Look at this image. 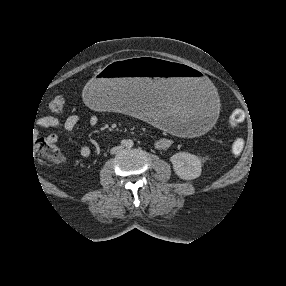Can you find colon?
<instances>
[{
  "label": "colon",
  "instance_id": "5ec220e1",
  "mask_svg": "<svg viewBox=\"0 0 286 286\" xmlns=\"http://www.w3.org/2000/svg\"><path fill=\"white\" fill-rule=\"evenodd\" d=\"M47 109L56 115L62 114L65 108V98L62 95L53 97L47 103ZM246 114L242 109L232 111L229 118V127L236 129L245 120ZM244 148V141L240 138L234 140L231 146L233 154H240ZM37 158L44 163H55L61 160L59 149L49 138H39L35 142Z\"/></svg>",
  "mask_w": 286,
  "mask_h": 286
}]
</instances>
